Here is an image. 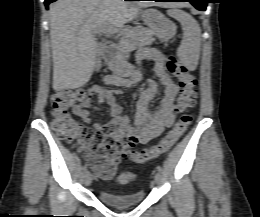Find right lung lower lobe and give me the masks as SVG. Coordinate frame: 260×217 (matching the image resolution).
Segmentation results:
<instances>
[{
    "instance_id": "98d812e1",
    "label": "right lung lower lobe",
    "mask_w": 260,
    "mask_h": 217,
    "mask_svg": "<svg viewBox=\"0 0 260 217\" xmlns=\"http://www.w3.org/2000/svg\"><path fill=\"white\" fill-rule=\"evenodd\" d=\"M54 1H56V0H45V6H46V8L48 9V5L50 4V3H52V2H54ZM126 1H131V0H126Z\"/></svg>"
}]
</instances>
